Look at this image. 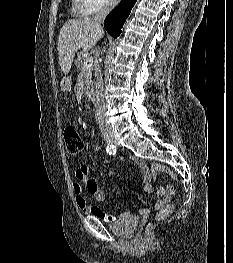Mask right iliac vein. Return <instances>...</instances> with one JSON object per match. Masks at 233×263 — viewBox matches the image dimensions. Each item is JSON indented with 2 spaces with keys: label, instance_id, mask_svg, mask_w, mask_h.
I'll use <instances>...</instances> for the list:
<instances>
[{
  "label": "right iliac vein",
  "instance_id": "right-iliac-vein-1",
  "mask_svg": "<svg viewBox=\"0 0 233 263\" xmlns=\"http://www.w3.org/2000/svg\"><path fill=\"white\" fill-rule=\"evenodd\" d=\"M104 139L110 145H116L117 144V141L115 140V138L111 134H105Z\"/></svg>",
  "mask_w": 233,
  "mask_h": 263
}]
</instances>
